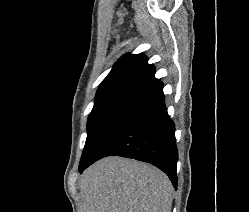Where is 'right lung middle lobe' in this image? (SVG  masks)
Here are the masks:
<instances>
[{"label": "right lung middle lobe", "mask_w": 249, "mask_h": 212, "mask_svg": "<svg viewBox=\"0 0 249 212\" xmlns=\"http://www.w3.org/2000/svg\"><path fill=\"white\" fill-rule=\"evenodd\" d=\"M137 97L134 94L114 93L95 98L93 109L87 121V139L80 165L89 157L109 125Z\"/></svg>", "instance_id": "right-lung-middle-lobe-1"}]
</instances>
